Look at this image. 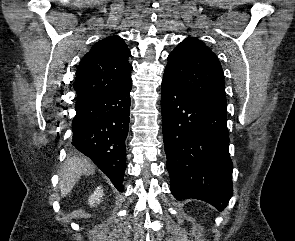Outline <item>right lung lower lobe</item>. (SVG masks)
<instances>
[{
	"label": "right lung lower lobe",
	"mask_w": 295,
	"mask_h": 241,
	"mask_svg": "<svg viewBox=\"0 0 295 241\" xmlns=\"http://www.w3.org/2000/svg\"><path fill=\"white\" fill-rule=\"evenodd\" d=\"M131 86L129 82L77 100L72 122V145L88 156L120 192L124 190Z\"/></svg>",
	"instance_id": "1"
}]
</instances>
